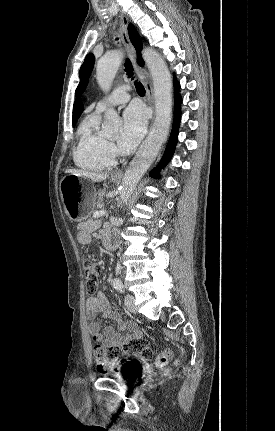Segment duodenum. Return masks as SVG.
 <instances>
[{
  "mask_svg": "<svg viewBox=\"0 0 275 431\" xmlns=\"http://www.w3.org/2000/svg\"><path fill=\"white\" fill-rule=\"evenodd\" d=\"M103 246L106 250H115L117 248V241L110 233H107L103 238Z\"/></svg>",
  "mask_w": 275,
  "mask_h": 431,
  "instance_id": "duodenum-1",
  "label": "duodenum"
}]
</instances>
